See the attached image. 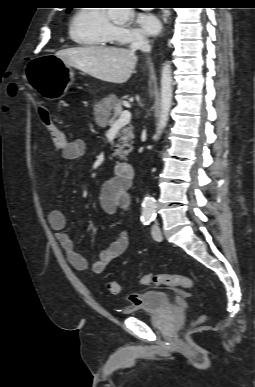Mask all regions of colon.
I'll list each match as a JSON object with an SVG mask.
<instances>
[{
  "mask_svg": "<svg viewBox=\"0 0 255 387\" xmlns=\"http://www.w3.org/2000/svg\"><path fill=\"white\" fill-rule=\"evenodd\" d=\"M37 111L40 121L49 132L55 148L59 152L63 151L69 142L65 133L55 124L52 114L48 108L38 106ZM140 284L143 286L183 287L185 289L192 290L201 296H206L205 292L199 288L192 279L183 275L145 274L140 277ZM106 288L113 295H119L121 292L119 283L114 279L107 280ZM204 320L205 316H201L194 324L202 323Z\"/></svg>",
  "mask_w": 255,
  "mask_h": 387,
  "instance_id": "colon-1",
  "label": "colon"
}]
</instances>
